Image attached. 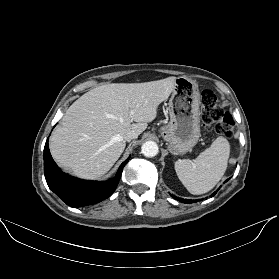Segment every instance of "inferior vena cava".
<instances>
[{
	"instance_id": "obj_1",
	"label": "inferior vena cava",
	"mask_w": 279,
	"mask_h": 279,
	"mask_svg": "<svg viewBox=\"0 0 279 279\" xmlns=\"http://www.w3.org/2000/svg\"><path fill=\"white\" fill-rule=\"evenodd\" d=\"M138 133L135 132L134 130H131L129 132L126 133L125 135V140L126 141H131L132 139H136L138 137Z\"/></svg>"
}]
</instances>
